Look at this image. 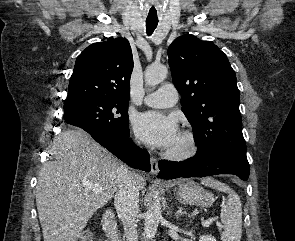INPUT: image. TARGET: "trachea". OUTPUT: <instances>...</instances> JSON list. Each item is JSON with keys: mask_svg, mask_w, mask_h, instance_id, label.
<instances>
[{"mask_svg": "<svg viewBox=\"0 0 295 241\" xmlns=\"http://www.w3.org/2000/svg\"><path fill=\"white\" fill-rule=\"evenodd\" d=\"M158 25V20H147L146 21V30L147 34L151 35Z\"/></svg>", "mask_w": 295, "mask_h": 241, "instance_id": "1", "label": "trachea"}]
</instances>
